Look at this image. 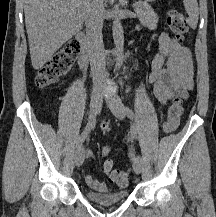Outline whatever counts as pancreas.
Wrapping results in <instances>:
<instances>
[{"mask_svg": "<svg viewBox=\"0 0 216 217\" xmlns=\"http://www.w3.org/2000/svg\"><path fill=\"white\" fill-rule=\"evenodd\" d=\"M135 6V11L141 24L151 30L155 29L158 22V16L151 6L144 2H138Z\"/></svg>", "mask_w": 216, "mask_h": 217, "instance_id": "pancreas-1", "label": "pancreas"}]
</instances>
